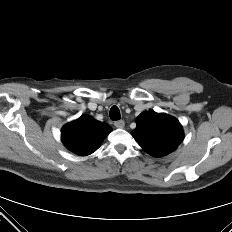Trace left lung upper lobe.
Listing matches in <instances>:
<instances>
[{
  "mask_svg": "<svg viewBox=\"0 0 232 232\" xmlns=\"http://www.w3.org/2000/svg\"><path fill=\"white\" fill-rule=\"evenodd\" d=\"M136 123L132 136L144 151L155 157L174 151L184 138L179 121L164 113L143 112Z\"/></svg>",
  "mask_w": 232,
  "mask_h": 232,
  "instance_id": "1",
  "label": "left lung upper lobe"
}]
</instances>
